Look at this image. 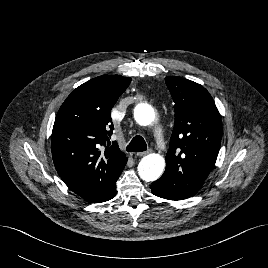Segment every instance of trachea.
<instances>
[{"instance_id":"3493384b","label":"trachea","mask_w":268,"mask_h":268,"mask_svg":"<svg viewBox=\"0 0 268 268\" xmlns=\"http://www.w3.org/2000/svg\"><path fill=\"white\" fill-rule=\"evenodd\" d=\"M147 149V144L142 136L136 135L126 147L128 152H143Z\"/></svg>"}]
</instances>
